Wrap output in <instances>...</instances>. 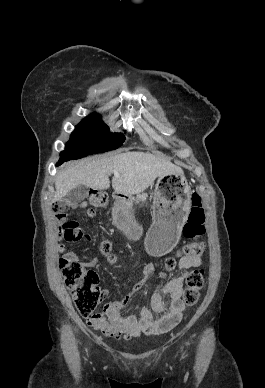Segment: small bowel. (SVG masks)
<instances>
[{
	"label": "small bowel",
	"instance_id": "1",
	"mask_svg": "<svg viewBox=\"0 0 265 388\" xmlns=\"http://www.w3.org/2000/svg\"><path fill=\"white\" fill-rule=\"evenodd\" d=\"M78 208L88 207L87 201H81L76 205ZM90 218H95L96 214L92 210L87 211ZM87 239H89L87 237ZM57 250L65 251L63 245H58ZM65 258L75 259L73 253H66ZM97 263L95 258H90L82 265L93 267ZM202 264V258L193 256H182L179 260L180 272L168 281L164 287L157 291L151 300L150 308L144 307L139 315H122L120 310L125 306L131 297L143 289L153 274V264L144 263V277L141 281L130 287L121 297L108 302L104 308V315L100 322H89L95 329L100 330L108 337H139L142 334L164 333L175 327L182 319L184 305L181 301L183 293V282L190 268L199 267ZM108 289H103L100 293V299L103 300L109 295Z\"/></svg>",
	"mask_w": 265,
	"mask_h": 388
}]
</instances>
